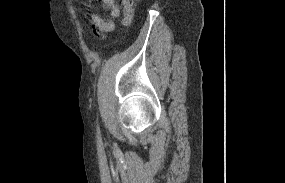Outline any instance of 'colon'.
Returning <instances> with one entry per match:
<instances>
[{"label": "colon", "instance_id": "5ec220e1", "mask_svg": "<svg viewBox=\"0 0 285 183\" xmlns=\"http://www.w3.org/2000/svg\"><path fill=\"white\" fill-rule=\"evenodd\" d=\"M123 7V25L128 27L134 17V0H120Z\"/></svg>", "mask_w": 285, "mask_h": 183}]
</instances>
